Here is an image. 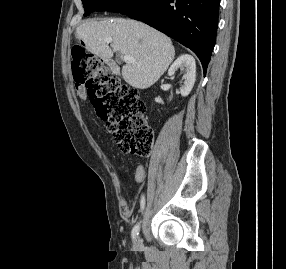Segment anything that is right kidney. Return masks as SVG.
Instances as JSON below:
<instances>
[{"label":"right kidney","instance_id":"right-kidney-1","mask_svg":"<svg viewBox=\"0 0 286 269\" xmlns=\"http://www.w3.org/2000/svg\"><path fill=\"white\" fill-rule=\"evenodd\" d=\"M180 69L184 73V82L180 88V93L186 97L191 92L196 77V64L195 59L188 54L181 55L177 58L168 70V75L172 76Z\"/></svg>","mask_w":286,"mask_h":269}]
</instances>
